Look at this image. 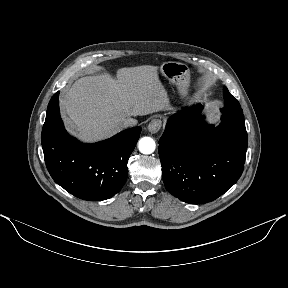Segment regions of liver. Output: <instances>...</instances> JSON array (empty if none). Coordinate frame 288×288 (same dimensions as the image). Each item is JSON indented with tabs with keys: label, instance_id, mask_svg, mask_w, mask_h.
I'll return each mask as SVG.
<instances>
[{
	"label": "liver",
	"instance_id": "6515ba94",
	"mask_svg": "<svg viewBox=\"0 0 288 288\" xmlns=\"http://www.w3.org/2000/svg\"><path fill=\"white\" fill-rule=\"evenodd\" d=\"M157 67L121 68L117 78L108 72L78 79L60 99L70 131L84 142H95L120 132L125 119L169 109Z\"/></svg>",
	"mask_w": 288,
	"mask_h": 288
}]
</instances>
